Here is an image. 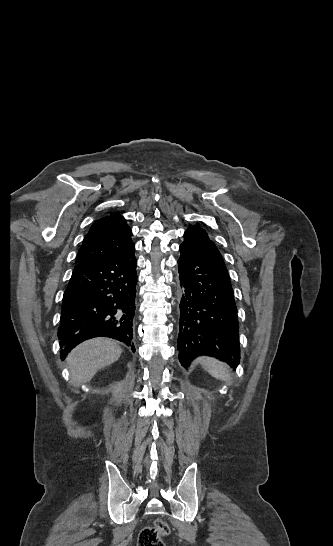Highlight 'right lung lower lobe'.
Instances as JSON below:
<instances>
[{
    "mask_svg": "<svg viewBox=\"0 0 333 546\" xmlns=\"http://www.w3.org/2000/svg\"><path fill=\"white\" fill-rule=\"evenodd\" d=\"M134 244L114 257L76 264L64 292L58 328L61 357L94 337L132 342L136 297Z\"/></svg>",
    "mask_w": 333,
    "mask_h": 546,
    "instance_id": "98d812e1",
    "label": "right lung lower lobe"
}]
</instances>
